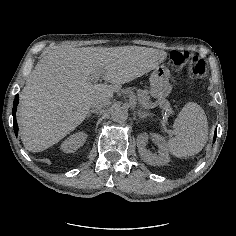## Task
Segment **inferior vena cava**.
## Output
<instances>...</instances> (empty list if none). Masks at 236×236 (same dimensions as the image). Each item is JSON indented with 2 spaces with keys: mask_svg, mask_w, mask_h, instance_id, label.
<instances>
[{
  "mask_svg": "<svg viewBox=\"0 0 236 236\" xmlns=\"http://www.w3.org/2000/svg\"><path fill=\"white\" fill-rule=\"evenodd\" d=\"M107 104V103H106ZM103 105H105V104H101L99 107H103Z\"/></svg>",
  "mask_w": 236,
  "mask_h": 236,
  "instance_id": "602c4592",
  "label": "inferior vena cava"
}]
</instances>
